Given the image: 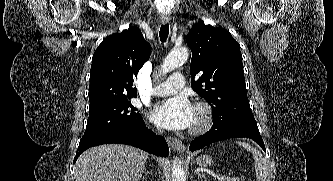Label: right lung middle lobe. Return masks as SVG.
Wrapping results in <instances>:
<instances>
[{"instance_id":"obj_1","label":"right lung middle lobe","mask_w":333,"mask_h":181,"mask_svg":"<svg viewBox=\"0 0 333 181\" xmlns=\"http://www.w3.org/2000/svg\"><path fill=\"white\" fill-rule=\"evenodd\" d=\"M129 99L89 108L86 131L82 138L126 130L140 123L143 119Z\"/></svg>"}]
</instances>
